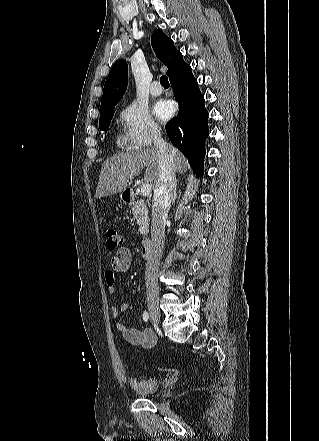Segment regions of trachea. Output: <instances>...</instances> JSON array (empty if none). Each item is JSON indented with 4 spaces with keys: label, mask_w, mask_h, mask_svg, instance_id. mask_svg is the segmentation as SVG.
<instances>
[{
    "label": "trachea",
    "mask_w": 319,
    "mask_h": 441,
    "mask_svg": "<svg viewBox=\"0 0 319 441\" xmlns=\"http://www.w3.org/2000/svg\"><path fill=\"white\" fill-rule=\"evenodd\" d=\"M160 84L163 87H169V81H168L167 76L163 75V76L160 77Z\"/></svg>",
    "instance_id": "obj_1"
}]
</instances>
